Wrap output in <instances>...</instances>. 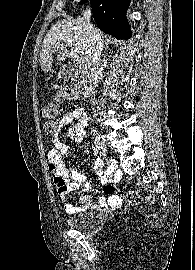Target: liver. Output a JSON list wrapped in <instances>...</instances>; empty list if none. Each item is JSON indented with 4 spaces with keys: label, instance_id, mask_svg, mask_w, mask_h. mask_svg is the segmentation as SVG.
<instances>
[{
    "label": "liver",
    "instance_id": "6515ba94",
    "mask_svg": "<svg viewBox=\"0 0 195 270\" xmlns=\"http://www.w3.org/2000/svg\"><path fill=\"white\" fill-rule=\"evenodd\" d=\"M94 29L101 37L99 30L97 28ZM66 40L71 41L70 45L65 42ZM88 40L86 23L83 18L58 21L51 27L43 40L42 50L40 52L41 69L44 72L52 69V54L55 51H59L57 58L64 60L68 55L67 46H73V49H77L81 57L86 56Z\"/></svg>",
    "mask_w": 195,
    "mask_h": 270
}]
</instances>
